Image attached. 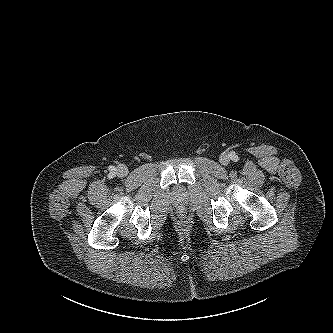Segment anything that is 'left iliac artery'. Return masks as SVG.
<instances>
[{
	"label": "left iliac artery",
	"instance_id": "left-iliac-artery-1",
	"mask_svg": "<svg viewBox=\"0 0 333 333\" xmlns=\"http://www.w3.org/2000/svg\"><path fill=\"white\" fill-rule=\"evenodd\" d=\"M232 160H237L236 156L231 155Z\"/></svg>",
	"mask_w": 333,
	"mask_h": 333
}]
</instances>
